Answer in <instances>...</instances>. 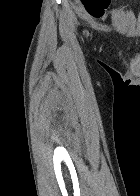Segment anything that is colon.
<instances>
[{
  "label": "colon",
  "mask_w": 140,
  "mask_h": 196,
  "mask_svg": "<svg viewBox=\"0 0 140 196\" xmlns=\"http://www.w3.org/2000/svg\"><path fill=\"white\" fill-rule=\"evenodd\" d=\"M83 2L85 3L86 0H83ZM102 2H103L104 4H106V3L108 2V0H103Z\"/></svg>",
  "instance_id": "1"
}]
</instances>
